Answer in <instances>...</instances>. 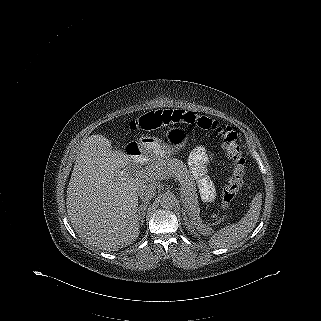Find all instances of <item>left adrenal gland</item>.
Listing matches in <instances>:
<instances>
[{"label":"left adrenal gland","mask_w":321,"mask_h":321,"mask_svg":"<svg viewBox=\"0 0 321 321\" xmlns=\"http://www.w3.org/2000/svg\"><path fill=\"white\" fill-rule=\"evenodd\" d=\"M183 219H184V221H185V225H187V228L190 229V225H189L188 222H187V217H186V214H185V213H183Z\"/></svg>","instance_id":"left-adrenal-gland-1"}]
</instances>
